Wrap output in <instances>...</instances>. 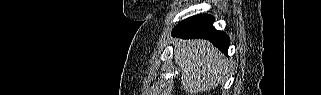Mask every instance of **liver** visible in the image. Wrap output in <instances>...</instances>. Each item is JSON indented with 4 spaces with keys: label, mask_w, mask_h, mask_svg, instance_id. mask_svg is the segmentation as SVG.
I'll return each instance as SVG.
<instances>
[{
    "label": "liver",
    "mask_w": 321,
    "mask_h": 95,
    "mask_svg": "<svg viewBox=\"0 0 321 95\" xmlns=\"http://www.w3.org/2000/svg\"><path fill=\"white\" fill-rule=\"evenodd\" d=\"M181 83L188 95L216 88L228 71V60L207 40H181L175 52Z\"/></svg>",
    "instance_id": "obj_1"
}]
</instances>
